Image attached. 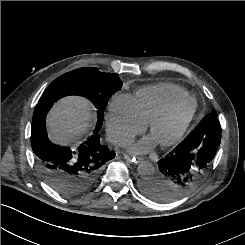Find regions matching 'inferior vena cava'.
<instances>
[{
	"label": "inferior vena cava",
	"instance_id": "inferior-vena-cava-1",
	"mask_svg": "<svg viewBox=\"0 0 245 245\" xmlns=\"http://www.w3.org/2000/svg\"><path fill=\"white\" fill-rule=\"evenodd\" d=\"M120 143H121V145H125V142L122 140V141H120Z\"/></svg>",
	"mask_w": 245,
	"mask_h": 245
}]
</instances>
